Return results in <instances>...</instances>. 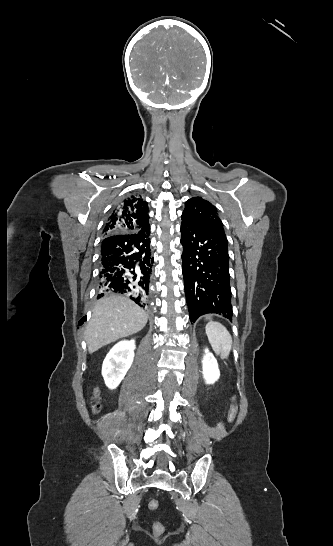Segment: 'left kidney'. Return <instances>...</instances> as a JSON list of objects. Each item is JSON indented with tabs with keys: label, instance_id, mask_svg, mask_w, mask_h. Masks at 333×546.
<instances>
[{
	"label": "left kidney",
	"instance_id": "1",
	"mask_svg": "<svg viewBox=\"0 0 333 546\" xmlns=\"http://www.w3.org/2000/svg\"><path fill=\"white\" fill-rule=\"evenodd\" d=\"M202 373L207 384L214 383L220 376L217 360L213 353L209 352L208 349H205V354L203 356Z\"/></svg>",
	"mask_w": 333,
	"mask_h": 546
}]
</instances>
